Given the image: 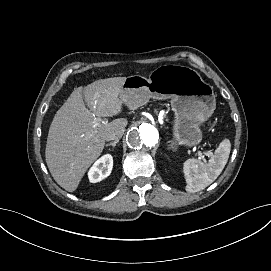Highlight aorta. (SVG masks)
<instances>
[{
    "label": "aorta",
    "instance_id": "aorta-1",
    "mask_svg": "<svg viewBox=\"0 0 271 271\" xmlns=\"http://www.w3.org/2000/svg\"><path fill=\"white\" fill-rule=\"evenodd\" d=\"M158 140L159 132L155 124L144 119L134 121L126 135L128 146L141 152L153 149Z\"/></svg>",
    "mask_w": 271,
    "mask_h": 271
}]
</instances>
